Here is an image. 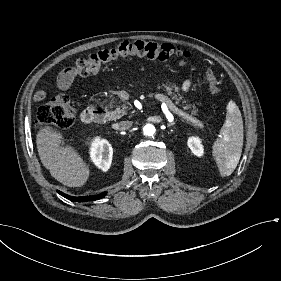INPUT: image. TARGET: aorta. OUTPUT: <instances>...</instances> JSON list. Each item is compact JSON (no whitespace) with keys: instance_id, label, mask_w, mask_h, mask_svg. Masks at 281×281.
<instances>
[{"instance_id":"aorta-1","label":"aorta","mask_w":281,"mask_h":281,"mask_svg":"<svg viewBox=\"0 0 281 281\" xmlns=\"http://www.w3.org/2000/svg\"><path fill=\"white\" fill-rule=\"evenodd\" d=\"M143 133L146 136H153L155 133V127L152 124H146L143 127Z\"/></svg>"}]
</instances>
